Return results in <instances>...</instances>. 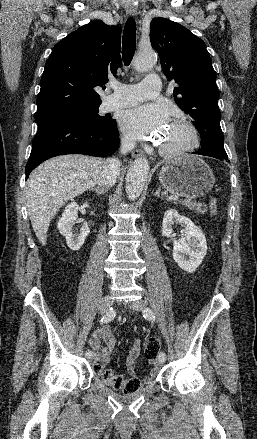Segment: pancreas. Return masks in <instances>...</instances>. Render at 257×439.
<instances>
[{
    "label": "pancreas",
    "instance_id": "cf45deb5",
    "mask_svg": "<svg viewBox=\"0 0 257 439\" xmlns=\"http://www.w3.org/2000/svg\"><path fill=\"white\" fill-rule=\"evenodd\" d=\"M182 206L188 207L191 210L196 211L197 213L203 214L206 212V208L202 209L201 207H206L205 205L201 204L200 202L192 201L190 199H185L179 202Z\"/></svg>",
    "mask_w": 257,
    "mask_h": 439
}]
</instances>
